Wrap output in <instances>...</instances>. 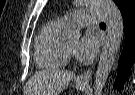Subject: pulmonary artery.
<instances>
[{"label":"pulmonary artery","mask_w":135,"mask_h":95,"mask_svg":"<svg viewBox=\"0 0 135 95\" xmlns=\"http://www.w3.org/2000/svg\"><path fill=\"white\" fill-rule=\"evenodd\" d=\"M105 18L101 10H76L64 16L62 20L66 25L85 26L88 24H99Z\"/></svg>","instance_id":"pulmonary-artery-1"}]
</instances>
